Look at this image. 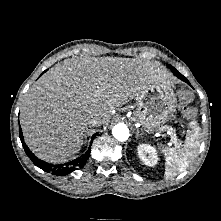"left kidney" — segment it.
<instances>
[{"mask_svg": "<svg viewBox=\"0 0 221 221\" xmlns=\"http://www.w3.org/2000/svg\"><path fill=\"white\" fill-rule=\"evenodd\" d=\"M139 158L145 165L155 166L158 162V156L154 147L149 144H140L137 148Z\"/></svg>", "mask_w": 221, "mask_h": 221, "instance_id": "obj_1", "label": "left kidney"}]
</instances>
